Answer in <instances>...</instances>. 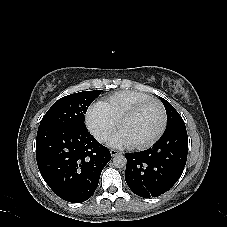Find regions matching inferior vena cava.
<instances>
[{
    "mask_svg": "<svg viewBox=\"0 0 227 227\" xmlns=\"http://www.w3.org/2000/svg\"><path fill=\"white\" fill-rule=\"evenodd\" d=\"M96 139H97L98 142L103 143V142L107 141L108 136L104 133H100V134L96 135Z\"/></svg>",
    "mask_w": 227,
    "mask_h": 227,
    "instance_id": "obj_1",
    "label": "inferior vena cava"
}]
</instances>
